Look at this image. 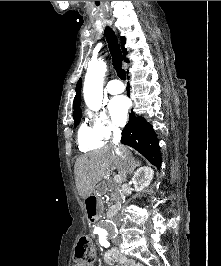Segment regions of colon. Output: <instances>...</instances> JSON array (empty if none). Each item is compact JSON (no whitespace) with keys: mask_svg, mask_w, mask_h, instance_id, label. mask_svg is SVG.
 Here are the masks:
<instances>
[{"mask_svg":"<svg viewBox=\"0 0 221 266\" xmlns=\"http://www.w3.org/2000/svg\"><path fill=\"white\" fill-rule=\"evenodd\" d=\"M76 266H90L95 260V250L90 237H80L75 251Z\"/></svg>","mask_w":221,"mask_h":266,"instance_id":"1","label":"colon"}]
</instances>
